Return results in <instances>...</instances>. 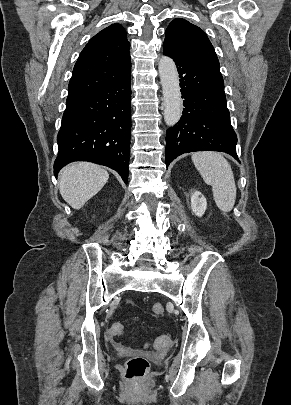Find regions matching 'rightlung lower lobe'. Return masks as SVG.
Wrapping results in <instances>:
<instances>
[{
  "instance_id": "right-lung-lower-lobe-1",
  "label": "right lung lower lobe",
  "mask_w": 291,
  "mask_h": 405,
  "mask_svg": "<svg viewBox=\"0 0 291 405\" xmlns=\"http://www.w3.org/2000/svg\"><path fill=\"white\" fill-rule=\"evenodd\" d=\"M131 73L66 104L57 136L54 175L73 161L116 170L127 183L131 134Z\"/></svg>"
}]
</instances>
